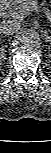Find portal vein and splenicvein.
Masks as SVG:
<instances>
[{
	"label": "portal vein and splenic vein",
	"instance_id": "1",
	"mask_svg": "<svg viewBox=\"0 0 51 153\" xmlns=\"http://www.w3.org/2000/svg\"><path fill=\"white\" fill-rule=\"evenodd\" d=\"M36 10V9H35ZM22 17L21 18H23V17H25V16H27L29 13H30V11L28 10V9H24L23 11H22Z\"/></svg>",
	"mask_w": 51,
	"mask_h": 153
}]
</instances>
